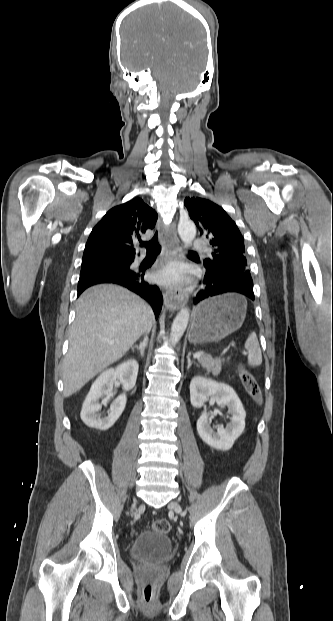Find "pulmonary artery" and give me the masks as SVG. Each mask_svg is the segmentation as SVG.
Returning <instances> with one entry per match:
<instances>
[{
  "mask_svg": "<svg viewBox=\"0 0 333 621\" xmlns=\"http://www.w3.org/2000/svg\"><path fill=\"white\" fill-rule=\"evenodd\" d=\"M192 247L194 250L202 251L206 249V243L202 239H195L193 241Z\"/></svg>",
  "mask_w": 333,
  "mask_h": 621,
  "instance_id": "e3ab8cb5",
  "label": "pulmonary artery"
}]
</instances>
